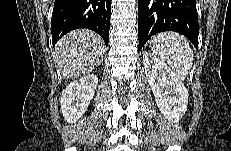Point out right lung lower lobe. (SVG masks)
I'll list each match as a JSON object with an SVG mask.
<instances>
[{"mask_svg": "<svg viewBox=\"0 0 231 151\" xmlns=\"http://www.w3.org/2000/svg\"><path fill=\"white\" fill-rule=\"evenodd\" d=\"M111 0H55L51 33L53 45L66 33L86 28L109 42Z\"/></svg>", "mask_w": 231, "mask_h": 151, "instance_id": "obj_1", "label": "right lung lower lobe"}]
</instances>
